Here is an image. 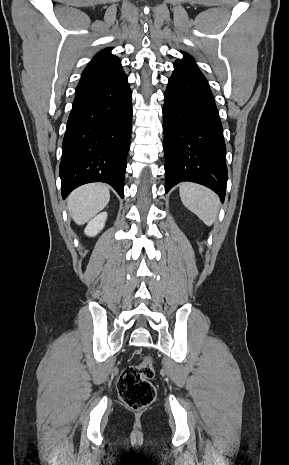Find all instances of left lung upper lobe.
Wrapping results in <instances>:
<instances>
[{"instance_id":"left-lung-upper-lobe-1","label":"left lung upper lobe","mask_w":289,"mask_h":465,"mask_svg":"<svg viewBox=\"0 0 289 465\" xmlns=\"http://www.w3.org/2000/svg\"><path fill=\"white\" fill-rule=\"evenodd\" d=\"M184 55V58L183 59H179L177 60L175 63H174V66H177V67H184V68H197L195 62H194V59L186 54V53H183Z\"/></svg>"}]
</instances>
